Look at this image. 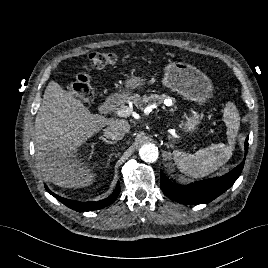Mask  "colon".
Segmentation results:
<instances>
[{
    "label": "colon",
    "instance_id": "colon-1",
    "mask_svg": "<svg viewBox=\"0 0 268 268\" xmlns=\"http://www.w3.org/2000/svg\"><path fill=\"white\" fill-rule=\"evenodd\" d=\"M119 58L114 53L93 52L89 55V67L103 69L115 65ZM71 93L79 100H89L93 96V87L86 74L78 75L69 85Z\"/></svg>",
    "mask_w": 268,
    "mask_h": 268
}]
</instances>
